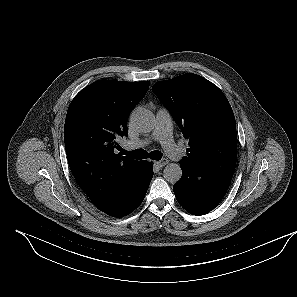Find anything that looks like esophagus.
Listing matches in <instances>:
<instances>
[{"mask_svg":"<svg viewBox=\"0 0 297 297\" xmlns=\"http://www.w3.org/2000/svg\"><path fill=\"white\" fill-rule=\"evenodd\" d=\"M168 159H161L160 161H155V164L158 166V167H164L166 164H168Z\"/></svg>","mask_w":297,"mask_h":297,"instance_id":"1","label":"esophagus"}]
</instances>
